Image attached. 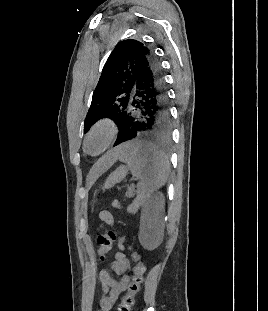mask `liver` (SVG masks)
Listing matches in <instances>:
<instances>
[{
    "label": "liver",
    "mask_w": 268,
    "mask_h": 311,
    "mask_svg": "<svg viewBox=\"0 0 268 311\" xmlns=\"http://www.w3.org/2000/svg\"><path fill=\"white\" fill-rule=\"evenodd\" d=\"M123 146H120L112 151H109L102 158L96 162L92 170L90 171V178H98L102 173L107 171L120 157V152Z\"/></svg>",
    "instance_id": "6515ba94"
}]
</instances>
